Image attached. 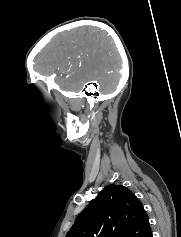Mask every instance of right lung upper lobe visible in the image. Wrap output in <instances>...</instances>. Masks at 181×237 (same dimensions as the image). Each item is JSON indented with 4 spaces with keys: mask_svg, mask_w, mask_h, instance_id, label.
Wrapping results in <instances>:
<instances>
[{
    "mask_svg": "<svg viewBox=\"0 0 181 237\" xmlns=\"http://www.w3.org/2000/svg\"><path fill=\"white\" fill-rule=\"evenodd\" d=\"M140 200L123 185H107L80 213L66 237H148Z\"/></svg>",
    "mask_w": 181,
    "mask_h": 237,
    "instance_id": "1",
    "label": "right lung upper lobe"
}]
</instances>
